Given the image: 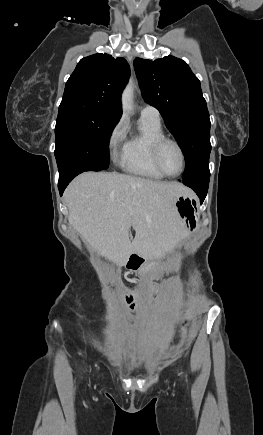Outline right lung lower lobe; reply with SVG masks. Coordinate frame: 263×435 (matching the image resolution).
Here are the masks:
<instances>
[{"label":"right lung lower lobe","mask_w":263,"mask_h":435,"mask_svg":"<svg viewBox=\"0 0 263 435\" xmlns=\"http://www.w3.org/2000/svg\"><path fill=\"white\" fill-rule=\"evenodd\" d=\"M101 170L102 169L99 168L82 166V165H74L66 168L64 171L59 173L58 188H59L60 195L63 194L64 189L67 187L69 182L78 174L84 171H101Z\"/></svg>","instance_id":"right-lung-lower-lobe-1"}]
</instances>
